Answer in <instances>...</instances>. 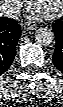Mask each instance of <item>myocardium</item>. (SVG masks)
I'll list each match as a JSON object with an SVG mask.
<instances>
[{"mask_svg":"<svg viewBox=\"0 0 63 107\" xmlns=\"http://www.w3.org/2000/svg\"><path fill=\"white\" fill-rule=\"evenodd\" d=\"M33 3H35V1H33ZM62 8H63V1L61 0L56 9L48 12L49 16L54 17V16L59 15L62 11Z\"/></svg>","mask_w":63,"mask_h":107,"instance_id":"myocardium-1","label":"myocardium"}]
</instances>
